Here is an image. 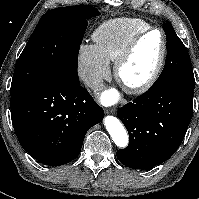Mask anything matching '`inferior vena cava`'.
I'll list each match as a JSON object with an SVG mask.
<instances>
[{
    "mask_svg": "<svg viewBox=\"0 0 199 199\" xmlns=\"http://www.w3.org/2000/svg\"><path fill=\"white\" fill-rule=\"evenodd\" d=\"M83 81L91 89H100L103 86V80L98 76L84 74Z\"/></svg>",
    "mask_w": 199,
    "mask_h": 199,
    "instance_id": "inferior-vena-cava-1",
    "label": "inferior vena cava"
}]
</instances>
